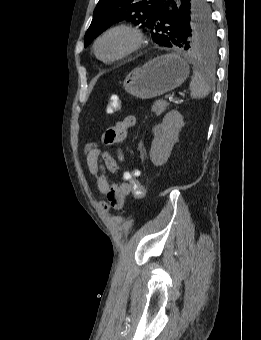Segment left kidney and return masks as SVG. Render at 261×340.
<instances>
[{
    "label": "left kidney",
    "mask_w": 261,
    "mask_h": 340,
    "mask_svg": "<svg viewBox=\"0 0 261 340\" xmlns=\"http://www.w3.org/2000/svg\"><path fill=\"white\" fill-rule=\"evenodd\" d=\"M183 126V116L178 111L172 110L165 115L155 133L149 153L155 166H161L167 162Z\"/></svg>",
    "instance_id": "left-kidney-1"
}]
</instances>
